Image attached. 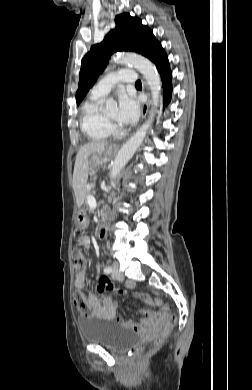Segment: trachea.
<instances>
[{"mask_svg":"<svg viewBox=\"0 0 252 390\" xmlns=\"http://www.w3.org/2000/svg\"><path fill=\"white\" fill-rule=\"evenodd\" d=\"M135 86H141V81H137L136 83H135Z\"/></svg>","mask_w":252,"mask_h":390,"instance_id":"obj_1","label":"trachea"}]
</instances>
